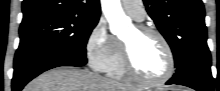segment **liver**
Here are the masks:
<instances>
[{"instance_id":"liver-1","label":"liver","mask_w":220,"mask_h":91,"mask_svg":"<svg viewBox=\"0 0 220 91\" xmlns=\"http://www.w3.org/2000/svg\"><path fill=\"white\" fill-rule=\"evenodd\" d=\"M23 91H138L99 74L70 66L51 69L28 83Z\"/></svg>"}]
</instances>
